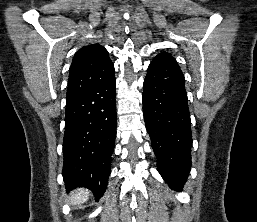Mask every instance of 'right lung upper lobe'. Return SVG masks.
<instances>
[{"mask_svg":"<svg viewBox=\"0 0 257 222\" xmlns=\"http://www.w3.org/2000/svg\"><path fill=\"white\" fill-rule=\"evenodd\" d=\"M113 71V63L104 47L100 44L82 47L70 66L67 98L97 85Z\"/></svg>","mask_w":257,"mask_h":222,"instance_id":"1","label":"right lung upper lobe"}]
</instances>
